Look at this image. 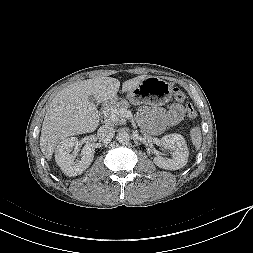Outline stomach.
<instances>
[{"instance_id":"obj_1","label":"stomach","mask_w":253,"mask_h":253,"mask_svg":"<svg viewBox=\"0 0 253 253\" xmlns=\"http://www.w3.org/2000/svg\"><path fill=\"white\" fill-rule=\"evenodd\" d=\"M172 94L171 83L156 76H148L136 88L128 91L127 98L132 104L161 106L170 101Z\"/></svg>"}]
</instances>
